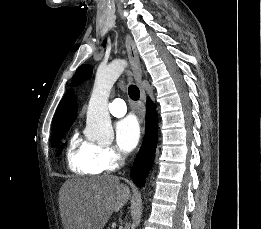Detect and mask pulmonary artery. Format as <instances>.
Returning <instances> with one entry per match:
<instances>
[{
  "instance_id": "obj_1",
  "label": "pulmonary artery",
  "mask_w": 261,
  "mask_h": 229,
  "mask_svg": "<svg viewBox=\"0 0 261 229\" xmlns=\"http://www.w3.org/2000/svg\"><path fill=\"white\" fill-rule=\"evenodd\" d=\"M109 112L115 117H121L126 113L125 103L121 99H116L109 105Z\"/></svg>"
}]
</instances>
